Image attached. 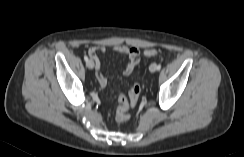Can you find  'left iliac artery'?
Here are the masks:
<instances>
[{"instance_id":"1","label":"left iliac artery","mask_w":244,"mask_h":157,"mask_svg":"<svg viewBox=\"0 0 244 157\" xmlns=\"http://www.w3.org/2000/svg\"><path fill=\"white\" fill-rule=\"evenodd\" d=\"M161 69V64H158L157 66H156V70H160Z\"/></svg>"}]
</instances>
